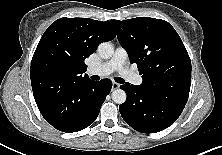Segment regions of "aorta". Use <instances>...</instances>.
<instances>
[{"label":"aorta","mask_w":222,"mask_h":155,"mask_svg":"<svg viewBox=\"0 0 222 155\" xmlns=\"http://www.w3.org/2000/svg\"><path fill=\"white\" fill-rule=\"evenodd\" d=\"M99 55L103 59H109L114 53L113 45L110 42H103L99 44L97 49ZM112 100L117 104H122L126 101V93L122 89H116L112 92Z\"/></svg>","instance_id":"obj_1"}]
</instances>
